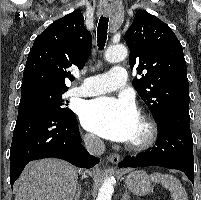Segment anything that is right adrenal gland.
<instances>
[{"mask_svg": "<svg viewBox=\"0 0 201 200\" xmlns=\"http://www.w3.org/2000/svg\"><path fill=\"white\" fill-rule=\"evenodd\" d=\"M76 191H77V193H76V195H75L74 200H79L80 197H81V186H80L79 184L77 185Z\"/></svg>", "mask_w": 201, "mask_h": 200, "instance_id": "2a0ac1e0", "label": "right adrenal gland"}]
</instances>
